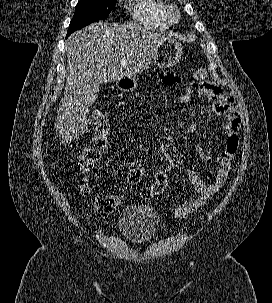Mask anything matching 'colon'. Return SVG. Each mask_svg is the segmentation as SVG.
<instances>
[{
  "instance_id": "1",
  "label": "colon",
  "mask_w": 272,
  "mask_h": 303,
  "mask_svg": "<svg viewBox=\"0 0 272 303\" xmlns=\"http://www.w3.org/2000/svg\"><path fill=\"white\" fill-rule=\"evenodd\" d=\"M207 73L204 68H199L194 73L195 82H201L205 79ZM193 84L187 88L185 93L181 96V103L188 101ZM94 137L91 140L90 145L85 150L80 163L79 169L86 173L93 165L101 158L103 151L108 144V136L110 132V126L106 117L102 114L96 115L93 118ZM168 184V177L165 171L158 169L153 178V182L140 190L142 198L148 199L154 196L162 194ZM81 195L84 197L89 196L90 190L85 180L81 181ZM92 209L96 216L106 217L115 212L121 205V199L115 194L105 193L95 196L92 201Z\"/></svg>"
}]
</instances>
